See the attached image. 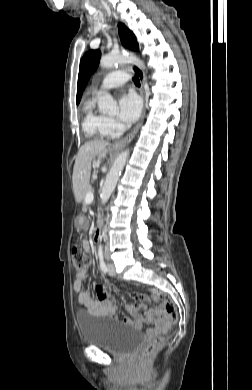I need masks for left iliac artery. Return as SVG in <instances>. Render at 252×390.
<instances>
[{"instance_id": "1", "label": "left iliac artery", "mask_w": 252, "mask_h": 390, "mask_svg": "<svg viewBox=\"0 0 252 390\" xmlns=\"http://www.w3.org/2000/svg\"><path fill=\"white\" fill-rule=\"evenodd\" d=\"M98 256H99L100 269L105 273L107 272V266L104 261L103 248L101 245L99 246Z\"/></svg>"}]
</instances>
